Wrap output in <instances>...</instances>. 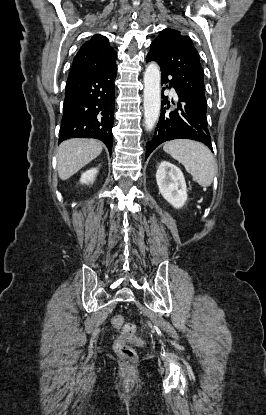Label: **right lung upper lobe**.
<instances>
[{"mask_svg": "<svg viewBox=\"0 0 266 415\" xmlns=\"http://www.w3.org/2000/svg\"><path fill=\"white\" fill-rule=\"evenodd\" d=\"M116 57L107 37L96 34L81 46L74 57L67 81L108 71L116 65Z\"/></svg>", "mask_w": 266, "mask_h": 415, "instance_id": "1", "label": "right lung upper lobe"}]
</instances>
